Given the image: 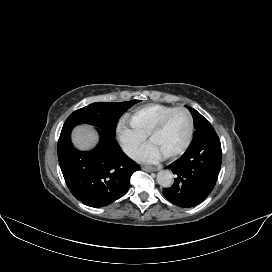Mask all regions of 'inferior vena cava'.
I'll return each instance as SVG.
<instances>
[{
	"label": "inferior vena cava",
	"instance_id": "obj_1",
	"mask_svg": "<svg viewBox=\"0 0 272 272\" xmlns=\"http://www.w3.org/2000/svg\"><path fill=\"white\" fill-rule=\"evenodd\" d=\"M123 151L127 156H129L132 159H136L139 155V151L135 146L132 145H125L123 147Z\"/></svg>",
	"mask_w": 272,
	"mask_h": 272
}]
</instances>
